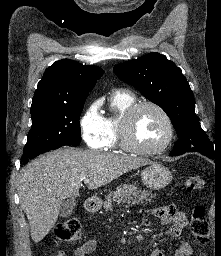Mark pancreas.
<instances>
[{"label": "pancreas", "instance_id": "1", "mask_svg": "<svg viewBox=\"0 0 221 256\" xmlns=\"http://www.w3.org/2000/svg\"><path fill=\"white\" fill-rule=\"evenodd\" d=\"M154 196L150 191H142L141 189H137L133 185H123L118 186L116 191L109 193L106 196V201L104 202V209L106 211L113 210L112 202L120 204L121 202L139 205L144 203H151V200Z\"/></svg>", "mask_w": 221, "mask_h": 256}]
</instances>
